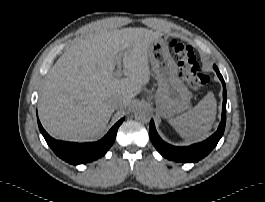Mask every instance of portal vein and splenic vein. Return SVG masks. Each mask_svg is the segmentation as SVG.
Segmentation results:
<instances>
[{
    "mask_svg": "<svg viewBox=\"0 0 265 202\" xmlns=\"http://www.w3.org/2000/svg\"><path fill=\"white\" fill-rule=\"evenodd\" d=\"M117 70L114 72L115 77H120L122 75V65H121V56L117 57Z\"/></svg>",
    "mask_w": 265,
    "mask_h": 202,
    "instance_id": "1",
    "label": "portal vein and splenic vein"
}]
</instances>
